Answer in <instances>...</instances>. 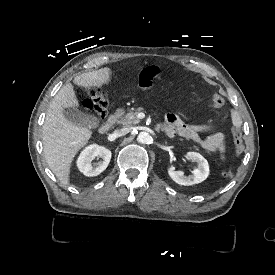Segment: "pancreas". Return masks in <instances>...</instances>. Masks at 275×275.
Wrapping results in <instances>:
<instances>
[{"label": "pancreas", "mask_w": 275, "mask_h": 275, "mask_svg": "<svg viewBox=\"0 0 275 275\" xmlns=\"http://www.w3.org/2000/svg\"><path fill=\"white\" fill-rule=\"evenodd\" d=\"M144 108L137 107L134 110L129 111L128 113L125 112L124 109L116 110L115 115L118 118V123L122 124L123 126H131L139 123L137 119V114L139 112H143Z\"/></svg>", "instance_id": "pancreas-1"}]
</instances>
